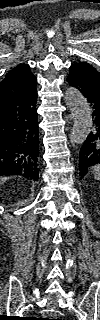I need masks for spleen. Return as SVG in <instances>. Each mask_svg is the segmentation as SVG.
<instances>
[{
	"instance_id": "1",
	"label": "spleen",
	"mask_w": 100,
	"mask_h": 320,
	"mask_svg": "<svg viewBox=\"0 0 100 320\" xmlns=\"http://www.w3.org/2000/svg\"><path fill=\"white\" fill-rule=\"evenodd\" d=\"M92 171L94 173V178L98 179L100 176V167L98 165L92 167Z\"/></svg>"
}]
</instances>
